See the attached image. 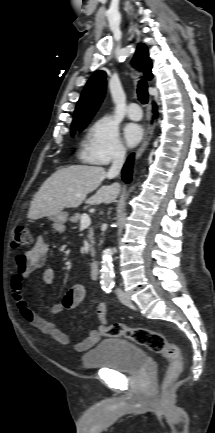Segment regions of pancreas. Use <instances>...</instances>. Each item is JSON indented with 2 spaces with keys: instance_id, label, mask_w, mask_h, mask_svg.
Instances as JSON below:
<instances>
[{
  "instance_id": "cf45deb5",
  "label": "pancreas",
  "mask_w": 215,
  "mask_h": 433,
  "mask_svg": "<svg viewBox=\"0 0 215 433\" xmlns=\"http://www.w3.org/2000/svg\"><path fill=\"white\" fill-rule=\"evenodd\" d=\"M83 215L76 213L74 216H72L69 220L72 223H77L79 220H81ZM89 241H90V252L92 254V256H94L95 254V249H94V238H93V231L92 229H89V235H88Z\"/></svg>"
}]
</instances>
